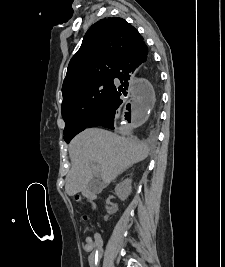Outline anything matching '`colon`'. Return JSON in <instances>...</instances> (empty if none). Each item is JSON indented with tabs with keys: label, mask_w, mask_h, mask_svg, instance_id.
Returning a JSON list of instances; mask_svg holds the SVG:
<instances>
[{
	"label": "colon",
	"mask_w": 225,
	"mask_h": 267,
	"mask_svg": "<svg viewBox=\"0 0 225 267\" xmlns=\"http://www.w3.org/2000/svg\"><path fill=\"white\" fill-rule=\"evenodd\" d=\"M85 219V216H83ZM82 247L85 251H90L94 248V242L90 237H86L82 241Z\"/></svg>",
	"instance_id": "1"
}]
</instances>
